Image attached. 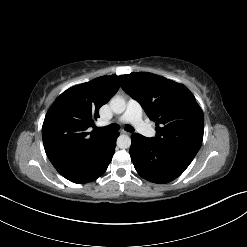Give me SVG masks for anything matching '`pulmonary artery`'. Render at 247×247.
I'll use <instances>...</instances> for the list:
<instances>
[{
	"label": "pulmonary artery",
	"instance_id": "e3ab8cb5",
	"mask_svg": "<svg viewBox=\"0 0 247 247\" xmlns=\"http://www.w3.org/2000/svg\"><path fill=\"white\" fill-rule=\"evenodd\" d=\"M118 123H131L141 134L147 137L154 135V129L142 119L141 105L130 99L127 103L126 111L117 120Z\"/></svg>",
	"mask_w": 247,
	"mask_h": 247
}]
</instances>
